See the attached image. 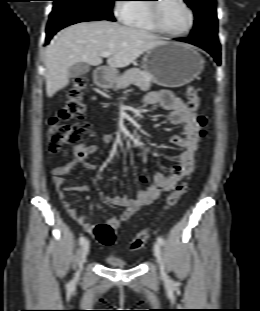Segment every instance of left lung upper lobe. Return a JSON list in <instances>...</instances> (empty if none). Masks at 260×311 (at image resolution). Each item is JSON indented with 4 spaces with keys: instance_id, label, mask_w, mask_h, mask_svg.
I'll return each mask as SVG.
<instances>
[{
    "instance_id": "left-lung-upper-lobe-1",
    "label": "left lung upper lobe",
    "mask_w": 260,
    "mask_h": 311,
    "mask_svg": "<svg viewBox=\"0 0 260 311\" xmlns=\"http://www.w3.org/2000/svg\"><path fill=\"white\" fill-rule=\"evenodd\" d=\"M194 11L195 22L190 38L218 43L215 0H184Z\"/></svg>"
}]
</instances>
